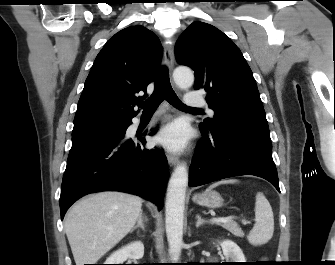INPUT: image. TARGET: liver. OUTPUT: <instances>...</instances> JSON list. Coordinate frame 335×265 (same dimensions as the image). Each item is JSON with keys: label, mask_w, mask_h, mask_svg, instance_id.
<instances>
[{"label": "liver", "mask_w": 335, "mask_h": 265, "mask_svg": "<svg viewBox=\"0 0 335 265\" xmlns=\"http://www.w3.org/2000/svg\"><path fill=\"white\" fill-rule=\"evenodd\" d=\"M141 208L140 197L110 191L75 204L64 228L76 265L95 264L132 230Z\"/></svg>", "instance_id": "obj_1"}]
</instances>
